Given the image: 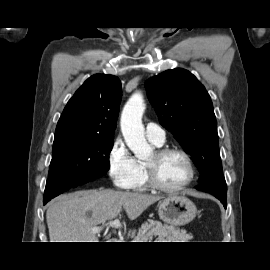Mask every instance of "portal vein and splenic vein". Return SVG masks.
<instances>
[{
    "instance_id": "18ae733b",
    "label": "portal vein and splenic vein",
    "mask_w": 270,
    "mask_h": 270,
    "mask_svg": "<svg viewBox=\"0 0 270 270\" xmlns=\"http://www.w3.org/2000/svg\"><path fill=\"white\" fill-rule=\"evenodd\" d=\"M105 226H109L115 229H119L122 227L121 222L119 219L111 220L105 224ZM103 229V226L95 227L92 229L93 232L99 233Z\"/></svg>"
}]
</instances>
